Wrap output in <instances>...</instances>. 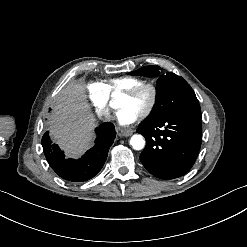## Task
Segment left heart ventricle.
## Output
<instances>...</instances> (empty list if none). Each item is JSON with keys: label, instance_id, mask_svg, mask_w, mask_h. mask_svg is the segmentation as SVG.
<instances>
[{"label": "left heart ventricle", "instance_id": "obj_1", "mask_svg": "<svg viewBox=\"0 0 247 247\" xmlns=\"http://www.w3.org/2000/svg\"><path fill=\"white\" fill-rule=\"evenodd\" d=\"M148 101H149V95L147 92H142L137 98L131 100V99H126L125 100V105H134L138 108L141 109L142 113L143 111L147 108L148 106Z\"/></svg>", "mask_w": 247, "mask_h": 247}]
</instances>
